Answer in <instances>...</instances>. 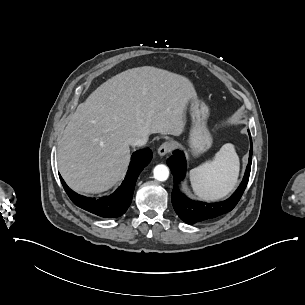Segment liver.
<instances>
[{"label":"liver","mask_w":305,"mask_h":305,"mask_svg":"<svg viewBox=\"0 0 305 305\" xmlns=\"http://www.w3.org/2000/svg\"><path fill=\"white\" fill-rule=\"evenodd\" d=\"M196 93L185 78L151 67L128 70L78 105L58 143V168L77 192H103L125 173L130 138L180 136Z\"/></svg>","instance_id":"1"}]
</instances>
